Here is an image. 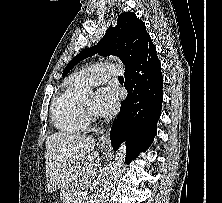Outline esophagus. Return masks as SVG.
Instances as JSON below:
<instances>
[{"label":"esophagus","mask_w":222,"mask_h":203,"mask_svg":"<svg viewBox=\"0 0 222 203\" xmlns=\"http://www.w3.org/2000/svg\"><path fill=\"white\" fill-rule=\"evenodd\" d=\"M98 143L102 147H109L110 146V133L109 130L104 132L99 136Z\"/></svg>","instance_id":"34e87169"}]
</instances>
